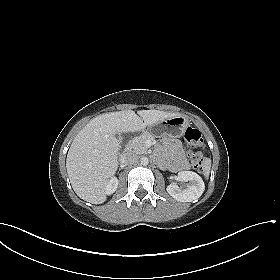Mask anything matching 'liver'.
Instances as JSON below:
<instances>
[{"mask_svg": "<svg viewBox=\"0 0 280 280\" xmlns=\"http://www.w3.org/2000/svg\"><path fill=\"white\" fill-rule=\"evenodd\" d=\"M176 113L159 110L111 112L92 119L74 138L66 168L75 193L92 204L106 201L105 186L118 168L120 150L117 133L141 131Z\"/></svg>", "mask_w": 280, "mask_h": 280, "instance_id": "obj_1", "label": "liver"}]
</instances>
